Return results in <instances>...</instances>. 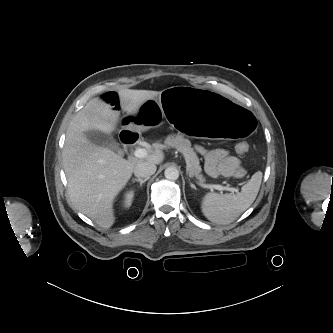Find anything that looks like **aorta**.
<instances>
[{"mask_svg": "<svg viewBox=\"0 0 333 333\" xmlns=\"http://www.w3.org/2000/svg\"><path fill=\"white\" fill-rule=\"evenodd\" d=\"M165 178L168 180H177L179 178V171L175 167H168L164 171Z\"/></svg>", "mask_w": 333, "mask_h": 333, "instance_id": "762f6f07", "label": "aorta"}]
</instances>
